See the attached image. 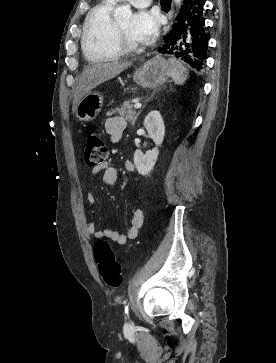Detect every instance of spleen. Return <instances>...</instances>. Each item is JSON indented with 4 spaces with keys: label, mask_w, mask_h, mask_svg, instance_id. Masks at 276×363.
<instances>
[{
    "label": "spleen",
    "mask_w": 276,
    "mask_h": 363,
    "mask_svg": "<svg viewBox=\"0 0 276 363\" xmlns=\"http://www.w3.org/2000/svg\"><path fill=\"white\" fill-rule=\"evenodd\" d=\"M171 77L175 84L183 85L189 77V71L182 65L179 60L174 58L169 59Z\"/></svg>",
    "instance_id": "1"
}]
</instances>
